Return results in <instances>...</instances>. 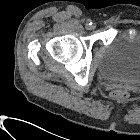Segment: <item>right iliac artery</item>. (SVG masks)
<instances>
[{"mask_svg": "<svg viewBox=\"0 0 140 140\" xmlns=\"http://www.w3.org/2000/svg\"><path fill=\"white\" fill-rule=\"evenodd\" d=\"M91 24H92L91 20H87L86 25L89 26V25H91Z\"/></svg>", "mask_w": 140, "mask_h": 140, "instance_id": "right-iliac-artery-1", "label": "right iliac artery"}]
</instances>
